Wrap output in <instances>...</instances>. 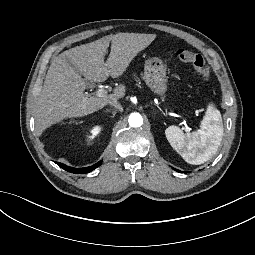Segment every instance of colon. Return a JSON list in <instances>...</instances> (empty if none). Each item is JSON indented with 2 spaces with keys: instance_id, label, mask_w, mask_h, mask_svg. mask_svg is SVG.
I'll return each mask as SVG.
<instances>
[{
  "instance_id": "obj_1",
  "label": "colon",
  "mask_w": 255,
  "mask_h": 255,
  "mask_svg": "<svg viewBox=\"0 0 255 255\" xmlns=\"http://www.w3.org/2000/svg\"><path fill=\"white\" fill-rule=\"evenodd\" d=\"M175 55L180 61L191 64L201 79H208L209 67L200 54L191 49L179 47L176 49Z\"/></svg>"
}]
</instances>
